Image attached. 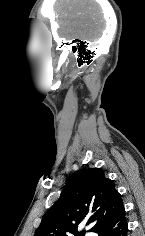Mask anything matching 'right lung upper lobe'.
Here are the masks:
<instances>
[{
  "label": "right lung upper lobe",
  "instance_id": "1",
  "mask_svg": "<svg viewBox=\"0 0 145 236\" xmlns=\"http://www.w3.org/2000/svg\"><path fill=\"white\" fill-rule=\"evenodd\" d=\"M123 207L121 195L101 168L75 173L67 182L61 197L48 210L35 236H84L78 225L88 220L96 231ZM87 223V224H88Z\"/></svg>",
  "mask_w": 145,
  "mask_h": 236
}]
</instances>
